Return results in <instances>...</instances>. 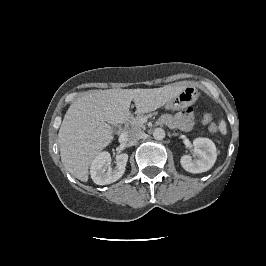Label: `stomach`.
Here are the masks:
<instances>
[{
    "label": "stomach",
    "instance_id": "1",
    "mask_svg": "<svg viewBox=\"0 0 266 266\" xmlns=\"http://www.w3.org/2000/svg\"><path fill=\"white\" fill-rule=\"evenodd\" d=\"M198 98V91L193 84H186L182 89L170 99L166 107L168 109L178 110L192 105Z\"/></svg>",
    "mask_w": 266,
    "mask_h": 266
}]
</instances>
